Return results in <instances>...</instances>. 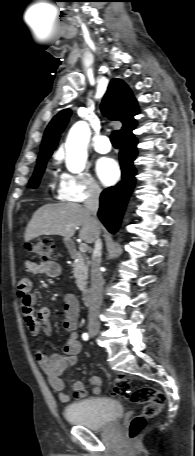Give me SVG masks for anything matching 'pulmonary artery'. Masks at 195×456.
Returning a JSON list of instances; mask_svg holds the SVG:
<instances>
[{"mask_svg": "<svg viewBox=\"0 0 195 456\" xmlns=\"http://www.w3.org/2000/svg\"><path fill=\"white\" fill-rule=\"evenodd\" d=\"M94 149L100 154H106L111 151V143L107 136H100L94 144Z\"/></svg>", "mask_w": 195, "mask_h": 456, "instance_id": "obj_1", "label": "pulmonary artery"}]
</instances>
